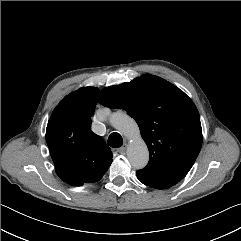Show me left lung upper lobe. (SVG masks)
Returning a JSON list of instances; mask_svg holds the SVG:
<instances>
[{
  "instance_id": "obj_1",
  "label": "left lung upper lobe",
  "mask_w": 241,
  "mask_h": 241,
  "mask_svg": "<svg viewBox=\"0 0 241 241\" xmlns=\"http://www.w3.org/2000/svg\"><path fill=\"white\" fill-rule=\"evenodd\" d=\"M98 101L135 119L150 154L145 170L176 181L187 175L202 146V128L195 104L182 90L147 74L104 88Z\"/></svg>"
}]
</instances>
